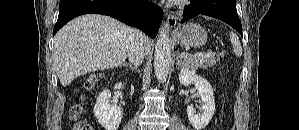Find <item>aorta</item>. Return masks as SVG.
<instances>
[{
    "label": "aorta",
    "instance_id": "aorta-1",
    "mask_svg": "<svg viewBox=\"0 0 299 130\" xmlns=\"http://www.w3.org/2000/svg\"><path fill=\"white\" fill-rule=\"evenodd\" d=\"M171 63V44L167 31L160 30L154 54V69L157 79L164 83L167 79Z\"/></svg>",
    "mask_w": 299,
    "mask_h": 130
}]
</instances>
